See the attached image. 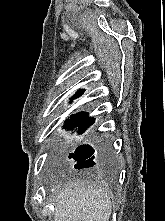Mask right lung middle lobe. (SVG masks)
<instances>
[{
  "mask_svg": "<svg viewBox=\"0 0 165 221\" xmlns=\"http://www.w3.org/2000/svg\"><path fill=\"white\" fill-rule=\"evenodd\" d=\"M87 115L79 113L71 115L70 120L65 121V126L71 128L76 124L78 125V133H83L94 122V119L87 117Z\"/></svg>",
  "mask_w": 165,
  "mask_h": 221,
  "instance_id": "right-lung-middle-lobe-1",
  "label": "right lung middle lobe"
}]
</instances>
